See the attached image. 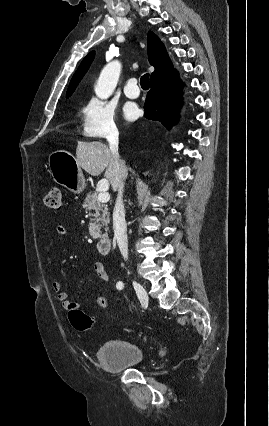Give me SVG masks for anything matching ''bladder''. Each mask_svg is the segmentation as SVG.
Wrapping results in <instances>:
<instances>
[{
  "label": "bladder",
  "mask_w": 269,
  "mask_h": 426,
  "mask_svg": "<svg viewBox=\"0 0 269 426\" xmlns=\"http://www.w3.org/2000/svg\"><path fill=\"white\" fill-rule=\"evenodd\" d=\"M99 363L109 371H123L141 365L145 361L143 349L127 340H107L96 351Z\"/></svg>",
  "instance_id": "1"
}]
</instances>
